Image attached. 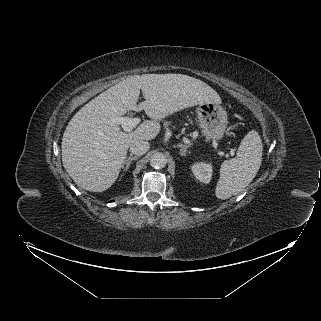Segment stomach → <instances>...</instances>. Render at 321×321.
Returning <instances> with one entry per match:
<instances>
[{
    "label": "stomach",
    "mask_w": 321,
    "mask_h": 321,
    "mask_svg": "<svg viewBox=\"0 0 321 321\" xmlns=\"http://www.w3.org/2000/svg\"><path fill=\"white\" fill-rule=\"evenodd\" d=\"M198 119L203 135L207 140H219L227 126V112L216 102L199 104Z\"/></svg>",
    "instance_id": "obj_1"
}]
</instances>
